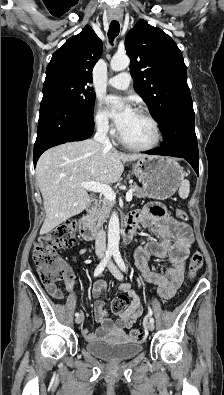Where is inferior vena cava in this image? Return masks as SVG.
I'll return each instance as SVG.
<instances>
[{"label":"inferior vena cava","instance_id":"602c4592","mask_svg":"<svg viewBox=\"0 0 224 395\" xmlns=\"http://www.w3.org/2000/svg\"><path fill=\"white\" fill-rule=\"evenodd\" d=\"M107 133H108V122L105 120L98 124L94 139L95 141L102 144L105 148L111 149L112 144L109 138L107 137ZM95 249L97 254H104L106 251V233L103 230V228L99 229L96 234Z\"/></svg>","mask_w":224,"mask_h":395}]
</instances>
